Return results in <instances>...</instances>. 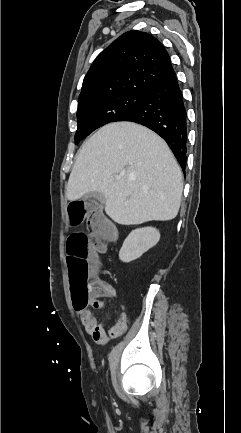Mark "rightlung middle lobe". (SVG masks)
Listing matches in <instances>:
<instances>
[{
  "label": "right lung middle lobe",
  "instance_id": "right-lung-middle-lobe-1",
  "mask_svg": "<svg viewBox=\"0 0 241 433\" xmlns=\"http://www.w3.org/2000/svg\"><path fill=\"white\" fill-rule=\"evenodd\" d=\"M144 97V92L125 91L78 103L75 144H78L95 129L110 122L120 121L134 111L142 103Z\"/></svg>",
  "mask_w": 241,
  "mask_h": 433
}]
</instances>
